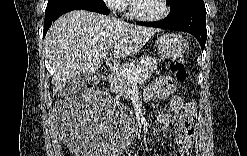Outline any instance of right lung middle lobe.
I'll return each instance as SVG.
<instances>
[{
  "label": "right lung middle lobe",
  "mask_w": 247,
  "mask_h": 156,
  "mask_svg": "<svg viewBox=\"0 0 247 156\" xmlns=\"http://www.w3.org/2000/svg\"><path fill=\"white\" fill-rule=\"evenodd\" d=\"M61 1H64V0H48L47 6H50V5L59 3ZM71 1H79V2H82V1H89V0H71Z\"/></svg>",
  "instance_id": "dd1d6c3e"
}]
</instances>
